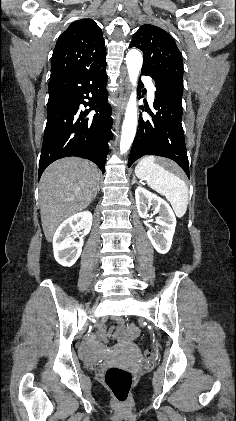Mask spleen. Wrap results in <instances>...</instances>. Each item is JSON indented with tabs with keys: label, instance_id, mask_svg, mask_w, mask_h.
Segmentation results:
<instances>
[{
	"label": "spleen",
	"instance_id": "obj_1",
	"mask_svg": "<svg viewBox=\"0 0 236 421\" xmlns=\"http://www.w3.org/2000/svg\"><path fill=\"white\" fill-rule=\"evenodd\" d=\"M161 164L155 156H144L136 164L135 174L170 200L176 217H184L188 204V186L182 178L169 172Z\"/></svg>",
	"mask_w": 236,
	"mask_h": 421
}]
</instances>
